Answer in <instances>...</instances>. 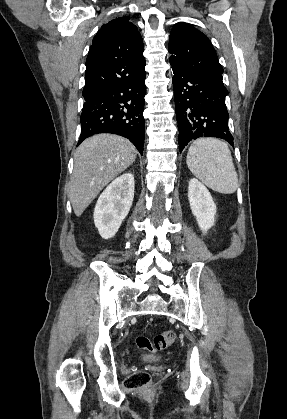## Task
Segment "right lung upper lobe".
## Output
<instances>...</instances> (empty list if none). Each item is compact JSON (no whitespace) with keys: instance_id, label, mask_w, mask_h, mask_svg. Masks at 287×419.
Wrapping results in <instances>:
<instances>
[{"instance_id":"obj_1","label":"right lung upper lobe","mask_w":287,"mask_h":419,"mask_svg":"<svg viewBox=\"0 0 287 419\" xmlns=\"http://www.w3.org/2000/svg\"><path fill=\"white\" fill-rule=\"evenodd\" d=\"M144 46L137 27L123 16L104 24L86 60V100L145 72Z\"/></svg>"}]
</instances>
